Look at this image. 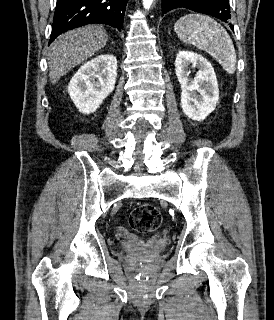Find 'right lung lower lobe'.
<instances>
[{
  "instance_id": "right-lung-lower-lobe-1",
  "label": "right lung lower lobe",
  "mask_w": 274,
  "mask_h": 320,
  "mask_svg": "<svg viewBox=\"0 0 274 320\" xmlns=\"http://www.w3.org/2000/svg\"><path fill=\"white\" fill-rule=\"evenodd\" d=\"M128 0H57L49 44L60 34L87 24L122 29Z\"/></svg>"
}]
</instances>
